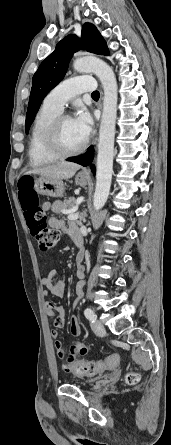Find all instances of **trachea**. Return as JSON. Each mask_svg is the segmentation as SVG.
Segmentation results:
<instances>
[{
    "instance_id": "trachea-1",
    "label": "trachea",
    "mask_w": 171,
    "mask_h": 445,
    "mask_svg": "<svg viewBox=\"0 0 171 445\" xmlns=\"http://www.w3.org/2000/svg\"><path fill=\"white\" fill-rule=\"evenodd\" d=\"M91 96H92V97H99V92H98V91H94V92L91 94Z\"/></svg>"
}]
</instances>
